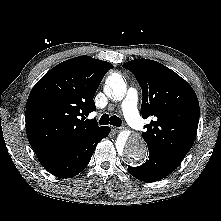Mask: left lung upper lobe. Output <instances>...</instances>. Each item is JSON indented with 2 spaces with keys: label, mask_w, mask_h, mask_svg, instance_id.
Listing matches in <instances>:
<instances>
[{
  "label": "left lung upper lobe",
  "mask_w": 221,
  "mask_h": 221,
  "mask_svg": "<svg viewBox=\"0 0 221 221\" xmlns=\"http://www.w3.org/2000/svg\"><path fill=\"white\" fill-rule=\"evenodd\" d=\"M142 89L141 113L145 125L142 136L148 147L183 159L197 134L199 103L191 86L178 74L157 61L135 59L123 64Z\"/></svg>",
  "instance_id": "left-lung-upper-lobe-1"
}]
</instances>
